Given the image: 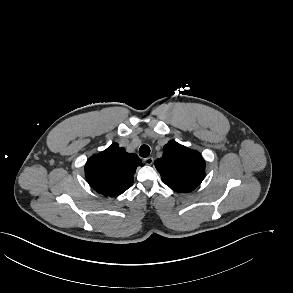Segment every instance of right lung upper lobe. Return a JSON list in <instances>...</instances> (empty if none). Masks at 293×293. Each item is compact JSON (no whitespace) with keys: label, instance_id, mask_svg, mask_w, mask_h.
I'll use <instances>...</instances> for the list:
<instances>
[{"label":"right lung upper lobe","instance_id":"right-lung-upper-lobe-1","mask_svg":"<svg viewBox=\"0 0 293 293\" xmlns=\"http://www.w3.org/2000/svg\"><path fill=\"white\" fill-rule=\"evenodd\" d=\"M143 166L140 158L127 153L117 143L93 155L85 165V175L90 186L98 193L115 197L133 184L134 173Z\"/></svg>","mask_w":293,"mask_h":293}]
</instances>
